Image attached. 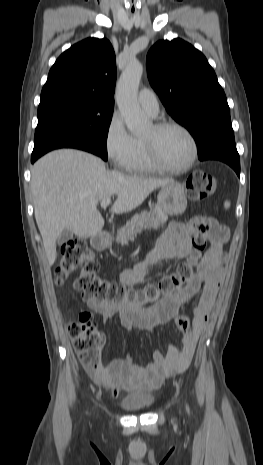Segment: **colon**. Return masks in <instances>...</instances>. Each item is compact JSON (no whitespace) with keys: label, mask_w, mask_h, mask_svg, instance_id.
Masks as SVG:
<instances>
[{"label":"colon","mask_w":263,"mask_h":465,"mask_svg":"<svg viewBox=\"0 0 263 465\" xmlns=\"http://www.w3.org/2000/svg\"><path fill=\"white\" fill-rule=\"evenodd\" d=\"M218 187L219 179L206 172L195 173L186 182L187 195L192 200L206 198L214 194ZM199 222L205 230L217 226L208 218H200ZM205 246V237H197L196 249L187 262L180 264L175 272L162 278L157 286L148 285L140 291H135L98 277L96 272L99 265L87 242L84 239H73L62 246L61 259L55 269V278L57 284H61L69 275L78 272L74 287L82 293L85 299H93L110 305L130 304L142 308L147 303L158 301L162 295H172L181 291L193 278L194 267ZM175 325L179 331L184 333L190 329V321L183 315L175 319ZM68 330L82 366L89 372L100 368L105 336L94 323L92 314L87 311L82 312L78 320L70 324Z\"/></svg>","instance_id":"1"}]
</instances>
